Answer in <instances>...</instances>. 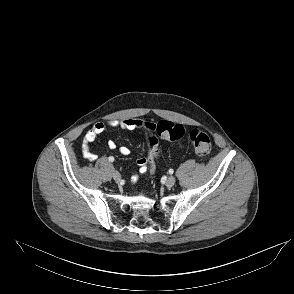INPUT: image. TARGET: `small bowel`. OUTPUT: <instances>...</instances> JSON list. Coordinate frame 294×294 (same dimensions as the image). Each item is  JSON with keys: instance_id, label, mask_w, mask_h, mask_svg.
<instances>
[{"instance_id": "c3829d8e", "label": "small bowel", "mask_w": 294, "mask_h": 294, "mask_svg": "<svg viewBox=\"0 0 294 294\" xmlns=\"http://www.w3.org/2000/svg\"><path fill=\"white\" fill-rule=\"evenodd\" d=\"M143 121L140 120H134V119H126L122 121L113 120L109 121L108 123L98 122L92 126V128L85 134L83 143H82V152L83 156L90 160L95 161L97 156L93 153L91 149V144L96 140L97 137H99L106 129L107 127H113V128H121V129H127V130H134L138 129V126ZM108 147L109 149H116L117 145L113 140L108 141ZM119 152L122 156H128L130 154V150L126 146H121L119 148ZM138 167H139V173L144 174L149 167V162L146 157L140 158L138 161ZM138 180V176L134 175L132 177V183H136Z\"/></svg>"}]
</instances>
